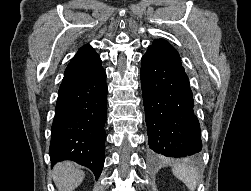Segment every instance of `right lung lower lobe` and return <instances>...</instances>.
<instances>
[{"mask_svg":"<svg viewBox=\"0 0 251 191\" xmlns=\"http://www.w3.org/2000/svg\"><path fill=\"white\" fill-rule=\"evenodd\" d=\"M106 73L59 91L51 128L53 166L72 160L92 170L97 179L104 165V130L107 118Z\"/></svg>","mask_w":251,"mask_h":191,"instance_id":"1","label":"right lung lower lobe"}]
</instances>
